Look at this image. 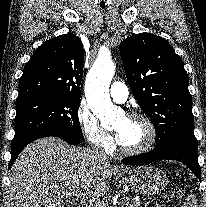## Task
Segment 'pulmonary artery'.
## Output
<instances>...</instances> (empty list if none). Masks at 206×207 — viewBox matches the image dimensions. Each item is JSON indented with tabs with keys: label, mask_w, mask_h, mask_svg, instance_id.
Instances as JSON below:
<instances>
[{
	"label": "pulmonary artery",
	"mask_w": 206,
	"mask_h": 207,
	"mask_svg": "<svg viewBox=\"0 0 206 207\" xmlns=\"http://www.w3.org/2000/svg\"><path fill=\"white\" fill-rule=\"evenodd\" d=\"M110 95L114 101L123 103L128 99L129 91L124 83L116 81L110 87Z\"/></svg>",
	"instance_id": "1"
}]
</instances>
